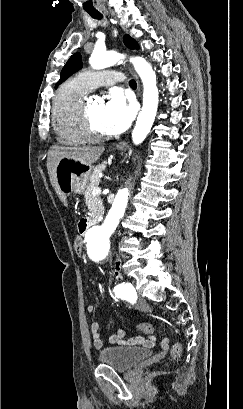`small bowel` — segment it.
<instances>
[{
  "mask_svg": "<svg viewBox=\"0 0 243 409\" xmlns=\"http://www.w3.org/2000/svg\"><path fill=\"white\" fill-rule=\"evenodd\" d=\"M81 223V222H80ZM112 275L114 278L120 277V272L117 268H114L112 271ZM87 311L89 313H93L95 311L94 305H89L87 307ZM147 336H136L133 338H125V332L122 329L117 330L114 334H112L108 338V342L111 344H118L122 346H130V347H153L156 342V338L151 333H146ZM91 335L93 338L94 346L96 348H101L107 341L100 330V325L97 322H93L91 325ZM166 348V347H165Z\"/></svg>",
  "mask_w": 243,
  "mask_h": 409,
  "instance_id": "c3829d8e",
  "label": "small bowel"
}]
</instances>
